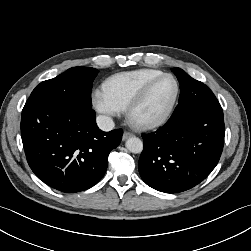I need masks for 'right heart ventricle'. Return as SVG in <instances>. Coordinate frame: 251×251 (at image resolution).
Listing matches in <instances>:
<instances>
[{
	"label": "right heart ventricle",
	"mask_w": 251,
	"mask_h": 251,
	"mask_svg": "<svg viewBox=\"0 0 251 251\" xmlns=\"http://www.w3.org/2000/svg\"><path fill=\"white\" fill-rule=\"evenodd\" d=\"M163 72L157 69H138L120 72L107 78L103 90L121 109L126 110L140 90L153 78Z\"/></svg>",
	"instance_id": "e07e8e85"
}]
</instances>
